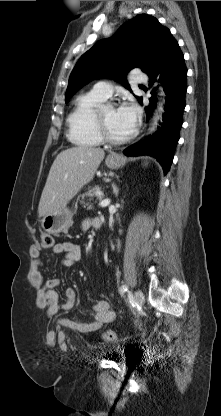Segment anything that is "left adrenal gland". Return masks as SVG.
Returning <instances> with one entry per match:
<instances>
[{
    "label": "left adrenal gland",
    "instance_id": "obj_1",
    "mask_svg": "<svg viewBox=\"0 0 221 416\" xmlns=\"http://www.w3.org/2000/svg\"><path fill=\"white\" fill-rule=\"evenodd\" d=\"M112 188H113V193L115 194V196L117 197L118 196V193H119V189H118V187L113 183L112 184Z\"/></svg>",
    "mask_w": 221,
    "mask_h": 416
}]
</instances>
